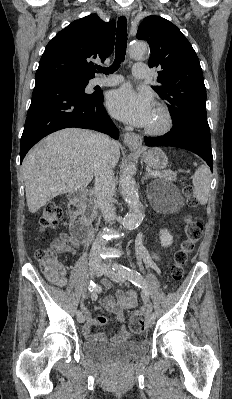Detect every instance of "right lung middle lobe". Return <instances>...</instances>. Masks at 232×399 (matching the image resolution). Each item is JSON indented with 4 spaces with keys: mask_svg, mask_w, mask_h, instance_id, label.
Wrapping results in <instances>:
<instances>
[{
    "mask_svg": "<svg viewBox=\"0 0 232 399\" xmlns=\"http://www.w3.org/2000/svg\"><path fill=\"white\" fill-rule=\"evenodd\" d=\"M65 80L69 83L78 85L82 89H85V87L89 82V79H80V78H65Z\"/></svg>",
    "mask_w": 232,
    "mask_h": 399,
    "instance_id": "dd1d6c3e",
    "label": "right lung middle lobe"
}]
</instances>
